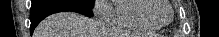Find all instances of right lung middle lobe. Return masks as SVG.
<instances>
[{
  "instance_id": "dd1d6c3e",
  "label": "right lung middle lobe",
  "mask_w": 219,
  "mask_h": 37,
  "mask_svg": "<svg viewBox=\"0 0 219 37\" xmlns=\"http://www.w3.org/2000/svg\"><path fill=\"white\" fill-rule=\"evenodd\" d=\"M47 0H32V4H38ZM75 2L92 9V0H76Z\"/></svg>"
}]
</instances>
